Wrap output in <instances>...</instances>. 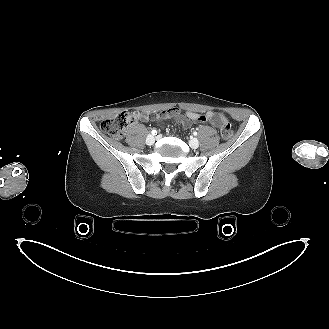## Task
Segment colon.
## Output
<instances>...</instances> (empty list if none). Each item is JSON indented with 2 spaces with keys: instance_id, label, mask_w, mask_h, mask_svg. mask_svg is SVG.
I'll list each match as a JSON object with an SVG mask.
<instances>
[{
  "instance_id": "colon-1",
  "label": "colon",
  "mask_w": 329,
  "mask_h": 329,
  "mask_svg": "<svg viewBox=\"0 0 329 329\" xmlns=\"http://www.w3.org/2000/svg\"><path fill=\"white\" fill-rule=\"evenodd\" d=\"M137 119L135 113L128 111L120 112L112 117L106 118L101 122V130L112 138L120 139L125 135L126 129ZM233 135L231 124L226 121L221 127V136L229 139Z\"/></svg>"
}]
</instances>
